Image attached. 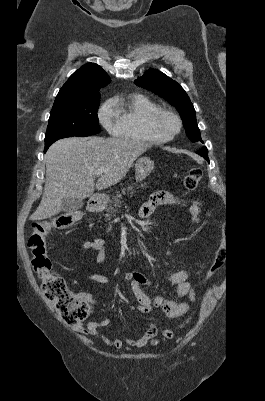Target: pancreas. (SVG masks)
I'll return each instance as SVG.
<instances>
[{
  "instance_id": "cf45deb5",
  "label": "pancreas",
  "mask_w": 265,
  "mask_h": 401,
  "mask_svg": "<svg viewBox=\"0 0 265 401\" xmlns=\"http://www.w3.org/2000/svg\"><path fill=\"white\" fill-rule=\"evenodd\" d=\"M141 186H145V184H141ZM137 188H139V186H137ZM127 192H131V194H133V186L122 188V192H119V190H117V194L116 196H114V198H112V201H110L109 207H105L106 215H104V217H106L108 221H110V219H113V217H116V213H118V209L122 203V194H127ZM109 231H112V227H110Z\"/></svg>"
}]
</instances>
